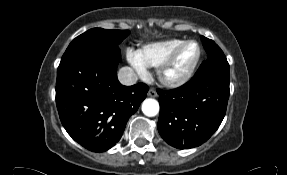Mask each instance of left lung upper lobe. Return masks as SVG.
I'll return each instance as SVG.
<instances>
[{
    "mask_svg": "<svg viewBox=\"0 0 287 175\" xmlns=\"http://www.w3.org/2000/svg\"><path fill=\"white\" fill-rule=\"evenodd\" d=\"M201 40L208 59L201 64L193 79L198 80L214 76L229 79V64L223 51L213 40L204 36H201Z\"/></svg>",
    "mask_w": 287,
    "mask_h": 175,
    "instance_id": "5c2ea615",
    "label": "left lung upper lobe"
}]
</instances>
